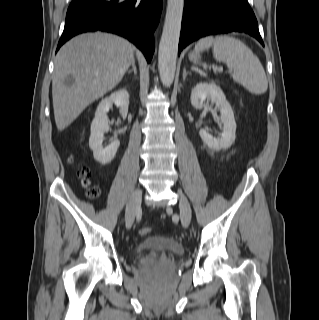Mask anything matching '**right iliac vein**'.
I'll use <instances>...</instances> for the list:
<instances>
[{"label": "right iliac vein", "instance_id": "obj_1", "mask_svg": "<svg viewBox=\"0 0 319 320\" xmlns=\"http://www.w3.org/2000/svg\"><path fill=\"white\" fill-rule=\"evenodd\" d=\"M141 198H142L141 189H136L132 193L131 197L129 198V201L126 206V215H125L127 229H130L134 223L136 212L140 207Z\"/></svg>", "mask_w": 319, "mask_h": 320}]
</instances>
